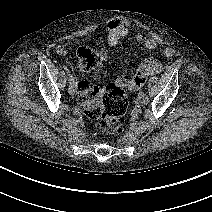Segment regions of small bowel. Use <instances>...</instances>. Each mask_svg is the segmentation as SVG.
Returning <instances> with one entry per match:
<instances>
[{
    "instance_id": "1",
    "label": "small bowel",
    "mask_w": 212,
    "mask_h": 212,
    "mask_svg": "<svg viewBox=\"0 0 212 212\" xmlns=\"http://www.w3.org/2000/svg\"><path fill=\"white\" fill-rule=\"evenodd\" d=\"M107 32V44L109 47H116L119 41L129 34H133V37L137 43L142 45L147 49H155L159 46V42L157 39L152 37H147L140 32L134 30L133 26L121 19H113L109 21L106 26ZM56 52L60 56L68 55V49L64 45H59L56 48ZM163 54L166 57H172L175 55V50L171 47H166L163 50ZM163 70V64L154 58H148L143 60L138 68V74L142 76L158 74ZM87 81H84V84ZM82 91L80 93V96Z\"/></svg>"
}]
</instances>
